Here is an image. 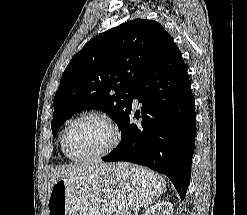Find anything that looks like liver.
<instances>
[{
	"label": "liver",
	"mask_w": 247,
	"mask_h": 215,
	"mask_svg": "<svg viewBox=\"0 0 247 215\" xmlns=\"http://www.w3.org/2000/svg\"><path fill=\"white\" fill-rule=\"evenodd\" d=\"M108 164L103 162L82 163L80 165L61 166L52 169L48 175V193L50 194L51 188L59 179H67L70 182L85 180L92 173L106 167Z\"/></svg>",
	"instance_id": "obj_1"
}]
</instances>
